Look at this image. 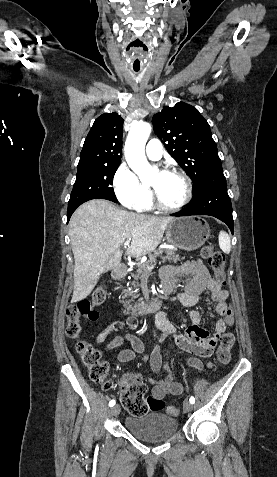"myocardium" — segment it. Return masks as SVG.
Here are the masks:
<instances>
[{"mask_svg": "<svg viewBox=\"0 0 277 477\" xmlns=\"http://www.w3.org/2000/svg\"><path fill=\"white\" fill-rule=\"evenodd\" d=\"M163 173H171V174L179 176L184 181V184H185V195L179 204L175 206H168L162 202L156 190L153 187H151L154 204L161 211L169 212V213L178 212L182 210L184 207H186L192 199V196H193L192 181L186 172L177 168L168 169L166 171H163Z\"/></svg>", "mask_w": 277, "mask_h": 477, "instance_id": "obj_1", "label": "myocardium"}]
</instances>
